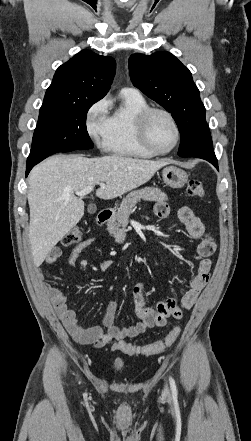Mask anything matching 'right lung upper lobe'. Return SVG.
Masks as SVG:
<instances>
[{"mask_svg": "<svg viewBox=\"0 0 251 441\" xmlns=\"http://www.w3.org/2000/svg\"><path fill=\"white\" fill-rule=\"evenodd\" d=\"M116 62L83 50L56 70L43 103H70L86 98H103L112 84Z\"/></svg>", "mask_w": 251, "mask_h": 441, "instance_id": "obj_1", "label": "right lung upper lobe"}]
</instances>
